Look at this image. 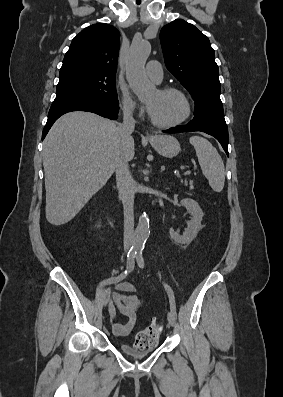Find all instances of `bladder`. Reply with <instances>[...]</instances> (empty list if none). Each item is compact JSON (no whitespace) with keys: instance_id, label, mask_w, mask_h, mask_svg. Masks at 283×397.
I'll return each instance as SVG.
<instances>
[{"instance_id":"31cf9c89","label":"bladder","mask_w":283,"mask_h":397,"mask_svg":"<svg viewBox=\"0 0 283 397\" xmlns=\"http://www.w3.org/2000/svg\"><path fill=\"white\" fill-rule=\"evenodd\" d=\"M118 348L123 354L130 356L132 358L139 359V358L146 357L149 354L153 353L157 348V342L154 343L153 345H151L150 347L144 348V349L135 348V347H133L129 344H125V343L119 344Z\"/></svg>"}]
</instances>
